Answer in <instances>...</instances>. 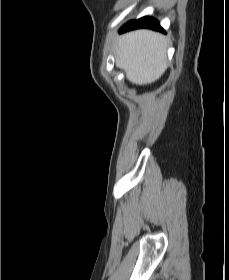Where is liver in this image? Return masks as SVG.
<instances>
[{"mask_svg": "<svg viewBox=\"0 0 229 280\" xmlns=\"http://www.w3.org/2000/svg\"><path fill=\"white\" fill-rule=\"evenodd\" d=\"M169 39L149 30H137L122 36L116 46V66L137 85L158 80L167 68Z\"/></svg>", "mask_w": 229, "mask_h": 280, "instance_id": "liver-1", "label": "liver"}]
</instances>
